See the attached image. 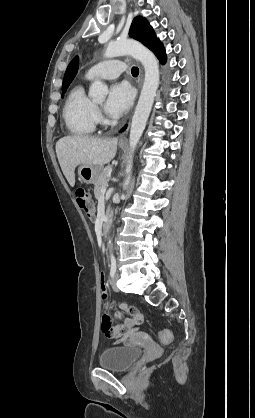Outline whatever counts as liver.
Instances as JSON below:
<instances>
[{
    "instance_id": "1",
    "label": "liver",
    "mask_w": 255,
    "mask_h": 418,
    "mask_svg": "<svg viewBox=\"0 0 255 418\" xmlns=\"http://www.w3.org/2000/svg\"><path fill=\"white\" fill-rule=\"evenodd\" d=\"M117 138L67 136L56 143V154L64 176L71 187L75 185V168L78 165L109 163L116 155Z\"/></svg>"
}]
</instances>
